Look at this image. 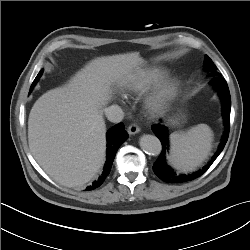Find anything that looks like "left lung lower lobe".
<instances>
[{
	"label": "left lung lower lobe",
	"instance_id": "obj_1",
	"mask_svg": "<svg viewBox=\"0 0 250 250\" xmlns=\"http://www.w3.org/2000/svg\"><path fill=\"white\" fill-rule=\"evenodd\" d=\"M210 83L218 91V94L222 101V112L225 124V131L219 144L218 150L212 157L211 161L204 166L201 170L189 175L177 174L166 162V154L169 150V139L167 134V128L161 124L153 125L152 130L155 135L160 139L162 143V151L153 165L154 173L165 182L180 183L194 180L204 174L211 164L215 161L218 155L222 152L229 136L230 130V110H231V98L230 92L225 79L221 77H214L210 80Z\"/></svg>",
	"mask_w": 250,
	"mask_h": 250
}]
</instances>
